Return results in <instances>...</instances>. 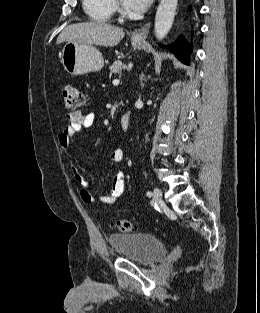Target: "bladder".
I'll return each mask as SVG.
<instances>
[{
    "label": "bladder",
    "instance_id": "31cf9c89",
    "mask_svg": "<svg viewBox=\"0 0 260 313\" xmlns=\"http://www.w3.org/2000/svg\"><path fill=\"white\" fill-rule=\"evenodd\" d=\"M108 242L123 258L143 266L152 265L167 254V246L146 233L110 234Z\"/></svg>",
    "mask_w": 260,
    "mask_h": 313
}]
</instances>
